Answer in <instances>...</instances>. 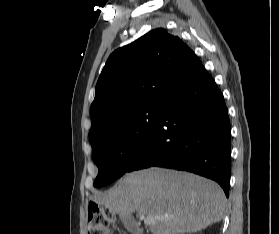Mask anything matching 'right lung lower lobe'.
Wrapping results in <instances>:
<instances>
[{"instance_id":"right-lung-lower-lobe-1","label":"right lung lower lobe","mask_w":279,"mask_h":234,"mask_svg":"<svg viewBox=\"0 0 279 234\" xmlns=\"http://www.w3.org/2000/svg\"><path fill=\"white\" fill-rule=\"evenodd\" d=\"M230 133L223 95L202 66L162 107L153 133L128 172L151 166L186 170L215 180L228 197Z\"/></svg>"}]
</instances>
